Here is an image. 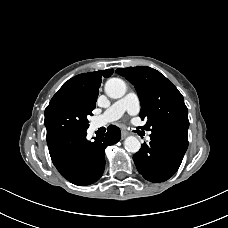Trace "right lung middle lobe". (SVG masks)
<instances>
[{
    "instance_id": "dd1d6c3e",
    "label": "right lung middle lobe",
    "mask_w": 228,
    "mask_h": 228,
    "mask_svg": "<svg viewBox=\"0 0 228 228\" xmlns=\"http://www.w3.org/2000/svg\"><path fill=\"white\" fill-rule=\"evenodd\" d=\"M89 115L92 109L69 96L55 94L45 109L47 141L68 131L88 129Z\"/></svg>"
}]
</instances>
